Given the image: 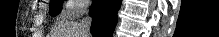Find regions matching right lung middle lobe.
Returning <instances> with one entry per match:
<instances>
[{"instance_id":"dd1d6c3e","label":"right lung middle lobe","mask_w":219,"mask_h":37,"mask_svg":"<svg viewBox=\"0 0 219 37\" xmlns=\"http://www.w3.org/2000/svg\"><path fill=\"white\" fill-rule=\"evenodd\" d=\"M61 5H62L61 0L51 1L50 2V7H49V14L52 15V16L58 15L61 11Z\"/></svg>"}]
</instances>
